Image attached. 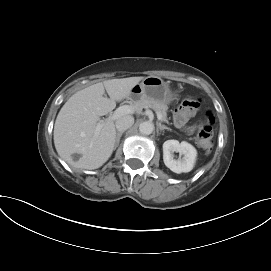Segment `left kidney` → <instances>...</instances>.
Wrapping results in <instances>:
<instances>
[{
	"label": "left kidney",
	"instance_id": "left-kidney-1",
	"mask_svg": "<svg viewBox=\"0 0 271 271\" xmlns=\"http://www.w3.org/2000/svg\"><path fill=\"white\" fill-rule=\"evenodd\" d=\"M174 152H178L183 157L175 159ZM196 157V149L188 142L167 140L163 143V161L175 173L190 172L195 165Z\"/></svg>",
	"mask_w": 271,
	"mask_h": 271
}]
</instances>
